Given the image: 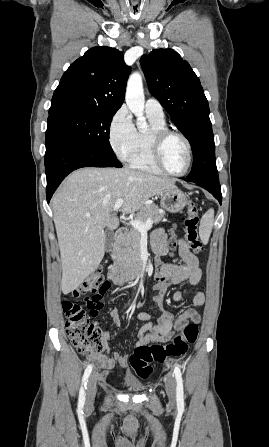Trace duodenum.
Returning a JSON list of instances; mask_svg holds the SVG:
<instances>
[{
  "label": "duodenum",
  "mask_w": 269,
  "mask_h": 447,
  "mask_svg": "<svg viewBox=\"0 0 269 447\" xmlns=\"http://www.w3.org/2000/svg\"><path fill=\"white\" fill-rule=\"evenodd\" d=\"M126 234L125 228H119L115 232V240H121ZM146 256L139 254L135 259L128 263H117L108 270V277L116 284L134 280L140 277L145 268Z\"/></svg>",
  "instance_id": "1"
}]
</instances>
